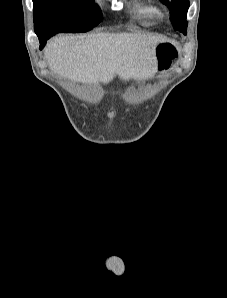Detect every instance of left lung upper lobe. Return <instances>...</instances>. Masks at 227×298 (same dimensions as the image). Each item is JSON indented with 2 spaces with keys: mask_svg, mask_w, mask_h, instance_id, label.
<instances>
[{
  "mask_svg": "<svg viewBox=\"0 0 227 298\" xmlns=\"http://www.w3.org/2000/svg\"><path fill=\"white\" fill-rule=\"evenodd\" d=\"M170 10V19L175 28L181 33H187L186 15L189 8V0H160Z\"/></svg>",
  "mask_w": 227,
  "mask_h": 298,
  "instance_id": "left-lung-upper-lobe-1",
  "label": "left lung upper lobe"
}]
</instances>
